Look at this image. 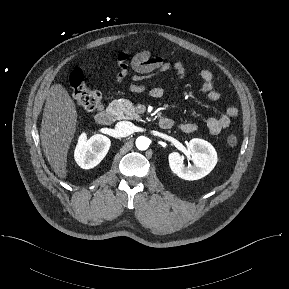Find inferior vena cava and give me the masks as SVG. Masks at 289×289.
I'll list each match as a JSON object with an SVG mask.
<instances>
[{
	"instance_id": "inferior-vena-cava-1",
	"label": "inferior vena cava",
	"mask_w": 289,
	"mask_h": 289,
	"mask_svg": "<svg viewBox=\"0 0 289 289\" xmlns=\"http://www.w3.org/2000/svg\"><path fill=\"white\" fill-rule=\"evenodd\" d=\"M118 136L126 137L134 132V125L129 121L118 122L115 126Z\"/></svg>"
}]
</instances>
